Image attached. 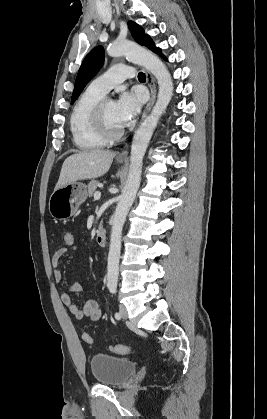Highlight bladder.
Listing matches in <instances>:
<instances>
[{
	"instance_id": "bladder-1",
	"label": "bladder",
	"mask_w": 267,
	"mask_h": 419,
	"mask_svg": "<svg viewBox=\"0 0 267 419\" xmlns=\"http://www.w3.org/2000/svg\"><path fill=\"white\" fill-rule=\"evenodd\" d=\"M89 364L94 380L112 387L124 384L137 369V364L132 360L104 353L93 355Z\"/></svg>"
}]
</instances>
